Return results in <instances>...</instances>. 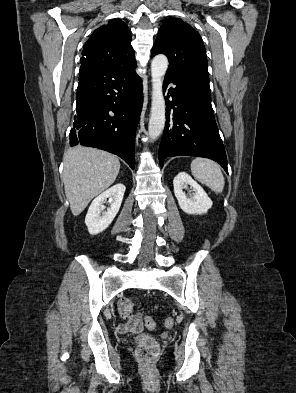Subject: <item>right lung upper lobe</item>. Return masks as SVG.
Masks as SVG:
<instances>
[{
  "instance_id": "cb5924a9",
  "label": "right lung upper lobe",
  "mask_w": 296,
  "mask_h": 393,
  "mask_svg": "<svg viewBox=\"0 0 296 393\" xmlns=\"http://www.w3.org/2000/svg\"><path fill=\"white\" fill-rule=\"evenodd\" d=\"M131 33L120 19L96 29L85 43L80 62L85 66L120 67L136 63Z\"/></svg>"
}]
</instances>
